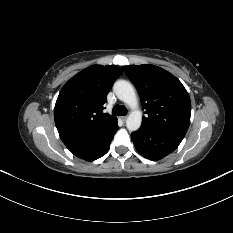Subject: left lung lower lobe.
I'll list each match as a JSON object with an SVG mask.
<instances>
[{
  "label": "left lung lower lobe",
  "mask_w": 233,
  "mask_h": 233,
  "mask_svg": "<svg viewBox=\"0 0 233 233\" xmlns=\"http://www.w3.org/2000/svg\"><path fill=\"white\" fill-rule=\"evenodd\" d=\"M136 150L143 157L159 160L173 152L184 137L141 126L131 134Z\"/></svg>",
  "instance_id": "obj_1"
}]
</instances>
